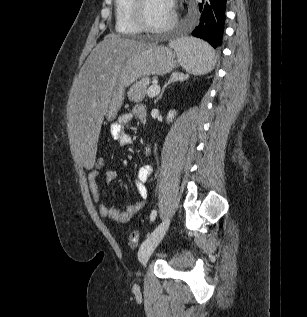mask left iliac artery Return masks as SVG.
<instances>
[{
  "label": "left iliac artery",
  "instance_id": "1",
  "mask_svg": "<svg viewBox=\"0 0 307 317\" xmlns=\"http://www.w3.org/2000/svg\"><path fill=\"white\" fill-rule=\"evenodd\" d=\"M156 216H157V211L154 209V210H152V212L150 214V220L154 221Z\"/></svg>",
  "mask_w": 307,
  "mask_h": 317
}]
</instances>
